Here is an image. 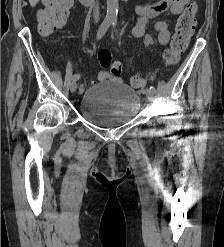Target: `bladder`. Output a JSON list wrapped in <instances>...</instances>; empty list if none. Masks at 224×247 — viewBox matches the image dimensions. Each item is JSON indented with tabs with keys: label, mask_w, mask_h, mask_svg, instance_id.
I'll list each match as a JSON object with an SVG mask.
<instances>
[{
	"label": "bladder",
	"mask_w": 224,
	"mask_h": 247,
	"mask_svg": "<svg viewBox=\"0 0 224 247\" xmlns=\"http://www.w3.org/2000/svg\"><path fill=\"white\" fill-rule=\"evenodd\" d=\"M139 108L137 92L115 80H104L88 87L78 106L84 120L101 128H114L131 121Z\"/></svg>",
	"instance_id": "obj_1"
}]
</instances>
